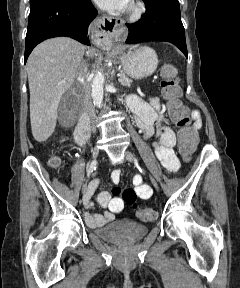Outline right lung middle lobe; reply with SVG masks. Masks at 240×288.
<instances>
[{
	"instance_id": "obj_1",
	"label": "right lung middle lobe",
	"mask_w": 240,
	"mask_h": 288,
	"mask_svg": "<svg viewBox=\"0 0 240 288\" xmlns=\"http://www.w3.org/2000/svg\"><path fill=\"white\" fill-rule=\"evenodd\" d=\"M50 1V0H30V11L36 9L41 4Z\"/></svg>"
}]
</instances>
